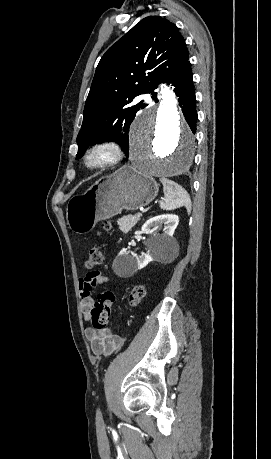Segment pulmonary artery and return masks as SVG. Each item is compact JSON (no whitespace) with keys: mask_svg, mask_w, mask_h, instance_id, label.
Here are the masks:
<instances>
[{"mask_svg":"<svg viewBox=\"0 0 271 459\" xmlns=\"http://www.w3.org/2000/svg\"><path fill=\"white\" fill-rule=\"evenodd\" d=\"M144 96H145V97L142 98V104H143L144 106H151V105L153 104V99H152L151 97H148V96H149V93H148V92H145V93H144Z\"/></svg>","mask_w":271,"mask_h":459,"instance_id":"pulmonary-artery-1","label":"pulmonary artery"}]
</instances>
